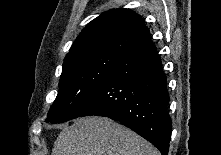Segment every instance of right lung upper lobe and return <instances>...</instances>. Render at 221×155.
<instances>
[{"label":"right lung upper lobe","mask_w":221,"mask_h":155,"mask_svg":"<svg viewBox=\"0 0 221 155\" xmlns=\"http://www.w3.org/2000/svg\"><path fill=\"white\" fill-rule=\"evenodd\" d=\"M149 38L150 32L137 13L129 9L110 10L82 30L70 48L63 68L75 60L103 53L125 56Z\"/></svg>","instance_id":"cb5924a9"}]
</instances>
